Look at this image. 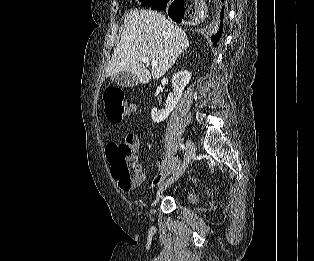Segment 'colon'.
<instances>
[{"label": "colon", "mask_w": 314, "mask_h": 261, "mask_svg": "<svg viewBox=\"0 0 314 261\" xmlns=\"http://www.w3.org/2000/svg\"><path fill=\"white\" fill-rule=\"evenodd\" d=\"M103 99L105 115L112 123H120L133 113V106L126 99L125 91L122 88H108L104 92ZM134 149L135 144L129 137L119 143H111L106 146L112 176L124 190L134 188L141 181L140 174L135 171L132 159Z\"/></svg>", "instance_id": "1"}]
</instances>
